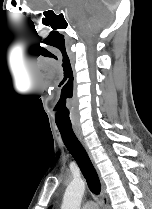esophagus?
Instances as JSON below:
<instances>
[{"label":"esophagus","instance_id":"esophagus-1","mask_svg":"<svg viewBox=\"0 0 152 209\" xmlns=\"http://www.w3.org/2000/svg\"><path fill=\"white\" fill-rule=\"evenodd\" d=\"M74 133L77 136L80 143L82 144V146L84 147V149L86 150V152L88 153V155L91 157L90 151H89V149L86 145V142L83 139V136L80 133V131L77 128H74ZM101 199H102L104 209H109V204H108L107 196H106V193H105V188H104L103 185H102V189H101Z\"/></svg>","mask_w":152,"mask_h":209}]
</instances>
